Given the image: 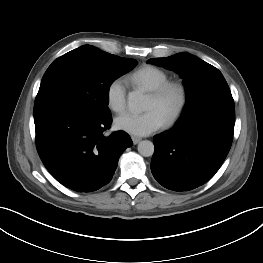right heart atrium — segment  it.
Here are the masks:
<instances>
[{
    "label": "right heart atrium",
    "mask_w": 263,
    "mask_h": 263,
    "mask_svg": "<svg viewBox=\"0 0 263 263\" xmlns=\"http://www.w3.org/2000/svg\"><path fill=\"white\" fill-rule=\"evenodd\" d=\"M106 101L112 111L116 113L124 111L126 107V86L121 78H115L107 85Z\"/></svg>",
    "instance_id": "1"
}]
</instances>
